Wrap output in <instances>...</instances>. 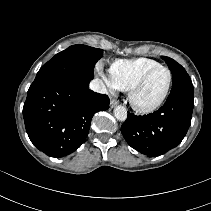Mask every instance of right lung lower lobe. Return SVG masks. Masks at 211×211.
Returning <instances> with one entry per match:
<instances>
[{
	"label": "right lung lower lobe",
	"mask_w": 211,
	"mask_h": 211,
	"mask_svg": "<svg viewBox=\"0 0 211 211\" xmlns=\"http://www.w3.org/2000/svg\"><path fill=\"white\" fill-rule=\"evenodd\" d=\"M108 108V96L94 93L87 84L45 79L31 84L23 117L27 134L40 151L64 157L86 139L94 113Z\"/></svg>",
	"instance_id": "98d812e1"
}]
</instances>
